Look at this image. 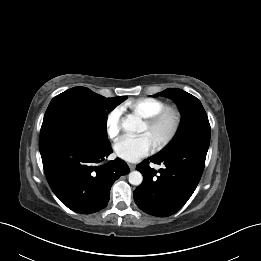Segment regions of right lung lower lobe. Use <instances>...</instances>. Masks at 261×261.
Segmentation results:
<instances>
[{
    "mask_svg": "<svg viewBox=\"0 0 261 261\" xmlns=\"http://www.w3.org/2000/svg\"><path fill=\"white\" fill-rule=\"evenodd\" d=\"M39 149L52 191L77 213L90 214L105 208L114 181L130 171L120 158L100 164L113 152L110 143L68 128L40 132Z\"/></svg>",
    "mask_w": 261,
    "mask_h": 261,
    "instance_id": "1",
    "label": "right lung lower lobe"
}]
</instances>
